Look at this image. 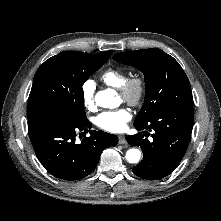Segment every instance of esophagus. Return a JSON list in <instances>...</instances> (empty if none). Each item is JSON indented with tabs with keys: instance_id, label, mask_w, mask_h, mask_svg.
Segmentation results:
<instances>
[{
	"instance_id": "obj_1",
	"label": "esophagus",
	"mask_w": 221,
	"mask_h": 221,
	"mask_svg": "<svg viewBox=\"0 0 221 221\" xmlns=\"http://www.w3.org/2000/svg\"><path fill=\"white\" fill-rule=\"evenodd\" d=\"M118 139H119V141H118L119 144H126L127 143V141L123 135H119Z\"/></svg>"
}]
</instances>
